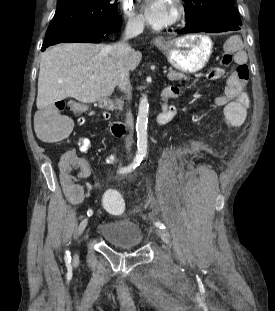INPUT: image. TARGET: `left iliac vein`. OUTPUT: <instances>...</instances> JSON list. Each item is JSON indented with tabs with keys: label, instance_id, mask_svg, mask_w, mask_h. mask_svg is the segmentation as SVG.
I'll list each match as a JSON object with an SVG mask.
<instances>
[{
	"label": "left iliac vein",
	"instance_id": "1",
	"mask_svg": "<svg viewBox=\"0 0 275 311\" xmlns=\"http://www.w3.org/2000/svg\"><path fill=\"white\" fill-rule=\"evenodd\" d=\"M156 233L162 239V241H164L165 243H169L170 236L166 230L158 228L156 229Z\"/></svg>",
	"mask_w": 275,
	"mask_h": 311
}]
</instances>
